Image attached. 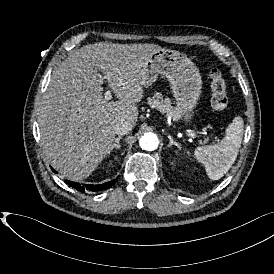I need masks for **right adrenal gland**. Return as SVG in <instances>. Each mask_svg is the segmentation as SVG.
Masks as SVG:
<instances>
[{
  "instance_id": "obj_1",
  "label": "right adrenal gland",
  "mask_w": 274,
  "mask_h": 274,
  "mask_svg": "<svg viewBox=\"0 0 274 274\" xmlns=\"http://www.w3.org/2000/svg\"><path fill=\"white\" fill-rule=\"evenodd\" d=\"M122 139V136H118L117 138H115V143L113 144L112 150L114 149H120V140Z\"/></svg>"
}]
</instances>
